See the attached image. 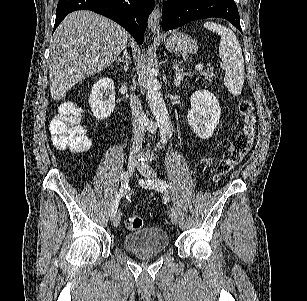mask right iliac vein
<instances>
[{"label": "right iliac vein", "instance_id": "1", "mask_svg": "<svg viewBox=\"0 0 307 301\" xmlns=\"http://www.w3.org/2000/svg\"><path fill=\"white\" fill-rule=\"evenodd\" d=\"M135 165H136V161L135 159L132 157L130 158V160L128 161L127 164V173H126V181L128 182V178L131 177L133 175V172L135 170ZM120 221H121V212L117 211L114 219H113V224L115 227H118L120 225Z\"/></svg>", "mask_w": 307, "mask_h": 301}]
</instances>
